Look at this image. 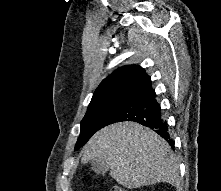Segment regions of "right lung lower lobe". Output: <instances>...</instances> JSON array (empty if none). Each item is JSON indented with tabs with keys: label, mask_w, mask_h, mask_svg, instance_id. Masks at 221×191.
<instances>
[{
	"label": "right lung lower lobe",
	"mask_w": 221,
	"mask_h": 191,
	"mask_svg": "<svg viewBox=\"0 0 221 191\" xmlns=\"http://www.w3.org/2000/svg\"><path fill=\"white\" fill-rule=\"evenodd\" d=\"M121 121H134L153 129L174 148V142L170 138L167 122L162 119L161 108L156 101L150 79L122 97L105 118L100 129Z\"/></svg>",
	"instance_id": "obj_1"
}]
</instances>
